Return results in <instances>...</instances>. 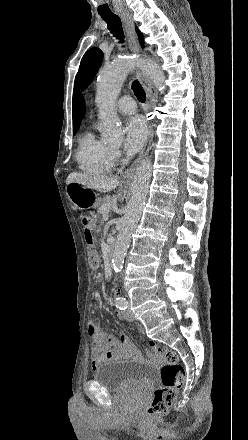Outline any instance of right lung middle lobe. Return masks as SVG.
Here are the masks:
<instances>
[{
    "mask_svg": "<svg viewBox=\"0 0 248 440\" xmlns=\"http://www.w3.org/2000/svg\"><path fill=\"white\" fill-rule=\"evenodd\" d=\"M77 130H73V133L76 134Z\"/></svg>",
    "mask_w": 248,
    "mask_h": 440,
    "instance_id": "obj_1",
    "label": "right lung middle lobe"
}]
</instances>
